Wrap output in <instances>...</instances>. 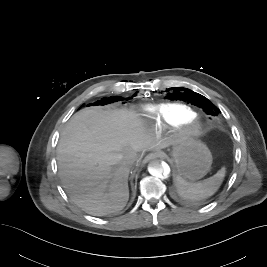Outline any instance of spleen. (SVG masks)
I'll list each match as a JSON object with an SVG mask.
<instances>
[{"label":"spleen","instance_id":"obj_1","mask_svg":"<svg viewBox=\"0 0 267 267\" xmlns=\"http://www.w3.org/2000/svg\"><path fill=\"white\" fill-rule=\"evenodd\" d=\"M225 177V167L215 175L197 183L187 182L180 176L176 177L178 194L184 199L201 200L212 196L220 187Z\"/></svg>","mask_w":267,"mask_h":267}]
</instances>
